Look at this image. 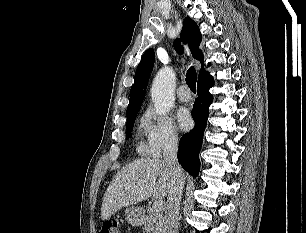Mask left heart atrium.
<instances>
[{"instance_id": "obj_1", "label": "left heart atrium", "mask_w": 306, "mask_h": 233, "mask_svg": "<svg viewBox=\"0 0 306 233\" xmlns=\"http://www.w3.org/2000/svg\"><path fill=\"white\" fill-rule=\"evenodd\" d=\"M177 120L181 130L186 131L192 125V119L189 113L182 109L177 113Z\"/></svg>"}]
</instances>
